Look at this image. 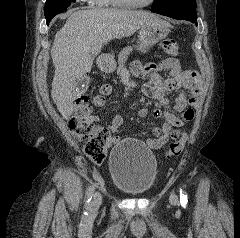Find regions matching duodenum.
Segmentation results:
<instances>
[{
    "instance_id": "obj_1",
    "label": "duodenum",
    "mask_w": 240,
    "mask_h": 238,
    "mask_svg": "<svg viewBox=\"0 0 240 238\" xmlns=\"http://www.w3.org/2000/svg\"><path fill=\"white\" fill-rule=\"evenodd\" d=\"M99 63H100V65H101V67L102 68H106V60H104V59H101L100 61H99Z\"/></svg>"
}]
</instances>
